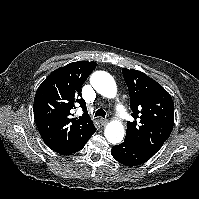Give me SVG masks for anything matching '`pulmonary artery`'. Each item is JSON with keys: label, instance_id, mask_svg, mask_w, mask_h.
Here are the masks:
<instances>
[{"label": "pulmonary artery", "instance_id": "obj_1", "mask_svg": "<svg viewBox=\"0 0 199 199\" xmlns=\"http://www.w3.org/2000/svg\"><path fill=\"white\" fill-rule=\"evenodd\" d=\"M116 109L121 113L122 116L127 115L126 111L124 110L123 106L121 105L119 101L116 104Z\"/></svg>", "mask_w": 199, "mask_h": 199}]
</instances>
